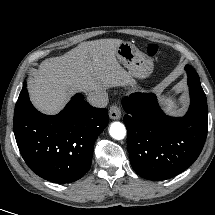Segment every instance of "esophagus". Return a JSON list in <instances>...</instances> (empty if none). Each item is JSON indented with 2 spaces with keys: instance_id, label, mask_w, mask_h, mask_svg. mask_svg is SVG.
Wrapping results in <instances>:
<instances>
[{
  "instance_id": "34e87169",
  "label": "esophagus",
  "mask_w": 215,
  "mask_h": 215,
  "mask_svg": "<svg viewBox=\"0 0 215 215\" xmlns=\"http://www.w3.org/2000/svg\"><path fill=\"white\" fill-rule=\"evenodd\" d=\"M109 117L113 120H118L121 118V109L118 105H112L109 109Z\"/></svg>"
}]
</instances>
